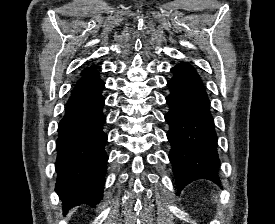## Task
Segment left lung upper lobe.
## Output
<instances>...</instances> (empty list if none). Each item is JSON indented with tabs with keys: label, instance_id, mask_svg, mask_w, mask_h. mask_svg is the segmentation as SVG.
Segmentation results:
<instances>
[{
	"label": "left lung upper lobe",
	"instance_id": "left-lung-upper-lobe-1",
	"mask_svg": "<svg viewBox=\"0 0 275 224\" xmlns=\"http://www.w3.org/2000/svg\"><path fill=\"white\" fill-rule=\"evenodd\" d=\"M185 66H190V65L187 63H179L175 67H185Z\"/></svg>",
	"mask_w": 275,
	"mask_h": 224
}]
</instances>
